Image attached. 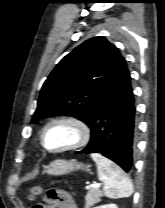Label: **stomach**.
<instances>
[{
	"mask_svg": "<svg viewBox=\"0 0 165 208\" xmlns=\"http://www.w3.org/2000/svg\"><path fill=\"white\" fill-rule=\"evenodd\" d=\"M88 166H85L82 163H78L74 160L71 161H67V160H63V159H57L52 161L47 169H46V173L49 175H54V176H58V175H65L68 174L72 171L75 170H79V169H87Z\"/></svg>",
	"mask_w": 165,
	"mask_h": 208,
	"instance_id": "obj_1",
	"label": "stomach"
}]
</instances>
